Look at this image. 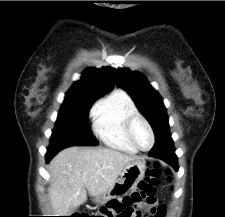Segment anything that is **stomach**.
Masks as SVG:
<instances>
[{"label": "stomach", "instance_id": "obj_1", "mask_svg": "<svg viewBox=\"0 0 225 217\" xmlns=\"http://www.w3.org/2000/svg\"><path fill=\"white\" fill-rule=\"evenodd\" d=\"M145 173L146 165L144 161L135 160L128 163L122 170L120 178L116 181L114 186L107 192L96 196L94 202L100 205L107 203L116 196V192L122 187L136 186L145 177Z\"/></svg>", "mask_w": 225, "mask_h": 217}]
</instances>
